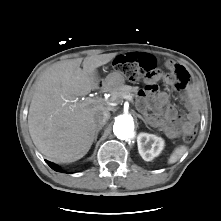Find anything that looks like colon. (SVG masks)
Wrapping results in <instances>:
<instances>
[{
  "label": "colon",
  "instance_id": "5ec220e1",
  "mask_svg": "<svg viewBox=\"0 0 221 221\" xmlns=\"http://www.w3.org/2000/svg\"><path fill=\"white\" fill-rule=\"evenodd\" d=\"M115 66L116 69L131 82L146 80L151 83L159 76L156 69V59L149 54H141L134 59H132L130 55L118 56ZM164 79L178 91L186 89L188 85V81L175 79L171 74L165 75ZM195 134V127L187 128L183 132V140L190 142L195 137Z\"/></svg>",
  "mask_w": 221,
  "mask_h": 221
}]
</instances>
